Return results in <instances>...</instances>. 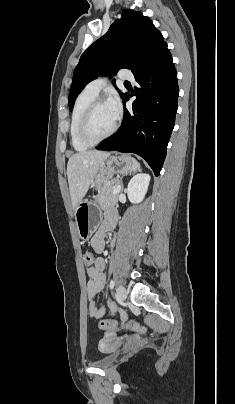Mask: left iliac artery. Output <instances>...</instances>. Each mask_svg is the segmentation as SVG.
Wrapping results in <instances>:
<instances>
[{
    "label": "left iliac artery",
    "mask_w": 235,
    "mask_h": 404,
    "mask_svg": "<svg viewBox=\"0 0 235 404\" xmlns=\"http://www.w3.org/2000/svg\"><path fill=\"white\" fill-rule=\"evenodd\" d=\"M114 286H115V282L113 279H111L110 284H109L110 289L112 290L114 288Z\"/></svg>",
    "instance_id": "1"
}]
</instances>
